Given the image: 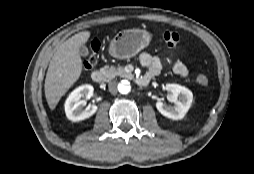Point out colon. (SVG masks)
<instances>
[{
  "label": "colon",
  "mask_w": 254,
  "mask_h": 174,
  "mask_svg": "<svg viewBox=\"0 0 254 174\" xmlns=\"http://www.w3.org/2000/svg\"><path fill=\"white\" fill-rule=\"evenodd\" d=\"M179 39L180 38H179L178 33L174 32V31H165L163 33V40L169 46L176 45L179 42ZM99 50H100V42L99 41L92 42V44L90 45L89 52L83 61L84 68L90 69L95 65L96 57H97ZM196 81L201 86H207L209 84L208 77L202 73L197 75Z\"/></svg>",
  "instance_id": "5ec220e1"
}]
</instances>
